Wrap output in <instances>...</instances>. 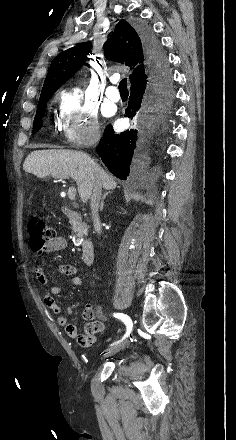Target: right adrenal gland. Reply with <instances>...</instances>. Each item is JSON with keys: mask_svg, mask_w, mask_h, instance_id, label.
<instances>
[{"mask_svg": "<svg viewBox=\"0 0 236 440\" xmlns=\"http://www.w3.org/2000/svg\"><path fill=\"white\" fill-rule=\"evenodd\" d=\"M108 194H109L108 192L105 193V194L103 195L102 199H101V203H100V211H102L103 208H104V200H105V198L107 197Z\"/></svg>", "mask_w": 236, "mask_h": 440, "instance_id": "2a0ac1e0", "label": "right adrenal gland"}]
</instances>
